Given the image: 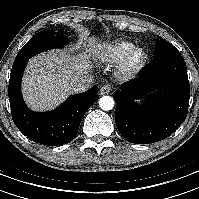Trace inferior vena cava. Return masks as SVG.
Masks as SVG:
<instances>
[{"instance_id": "1", "label": "inferior vena cava", "mask_w": 199, "mask_h": 199, "mask_svg": "<svg viewBox=\"0 0 199 199\" xmlns=\"http://www.w3.org/2000/svg\"><path fill=\"white\" fill-rule=\"evenodd\" d=\"M93 78L91 76H82L73 83L74 92H83L89 88Z\"/></svg>"}]
</instances>
